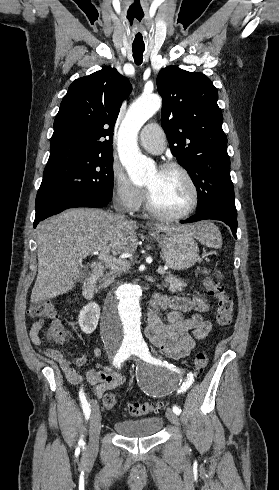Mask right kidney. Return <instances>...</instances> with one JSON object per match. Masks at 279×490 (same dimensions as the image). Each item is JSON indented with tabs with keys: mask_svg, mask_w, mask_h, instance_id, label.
Instances as JSON below:
<instances>
[{
	"mask_svg": "<svg viewBox=\"0 0 279 490\" xmlns=\"http://www.w3.org/2000/svg\"><path fill=\"white\" fill-rule=\"evenodd\" d=\"M100 318V308L95 302H89L83 306L78 316L79 326L84 334H92L98 326Z\"/></svg>",
	"mask_w": 279,
	"mask_h": 490,
	"instance_id": "obj_1",
	"label": "right kidney"
}]
</instances>
